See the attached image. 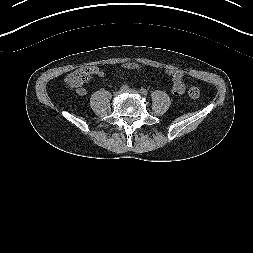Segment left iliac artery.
Listing matches in <instances>:
<instances>
[{
	"label": "left iliac artery",
	"mask_w": 253,
	"mask_h": 253,
	"mask_svg": "<svg viewBox=\"0 0 253 253\" xmlns=\"http://www.w3.org/2000/svg\"><path fill=\"white\" fill-rule=\"evenodd\" d=\"M140 93H141L142 95H147V94H148V91H147L146 89H144V88H141V89H140Z\"/></svg>",
	"instance_id": "left-iliac-artery-1"
}]
</instances>
